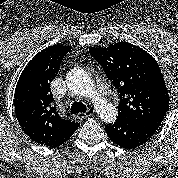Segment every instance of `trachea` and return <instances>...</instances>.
Returning <instances> with one entry per match:
<instances>
[{
  "instance_id": "3493384b",
  "label": "trachea",
  "mask_w": 178,
  "mask_h": 178,
  "mask_svg": "<svg viewBox=\"0 0 178 178\" xmlns=\"http://www.w3.org/2000/svg\"><path fill=\"white\" fill-rule=\"evenodd\" d=\"M87 107L85 104L81 102H74L71 106V113L77 114V113H86Z\"/></svg>"
}]
</instances>
